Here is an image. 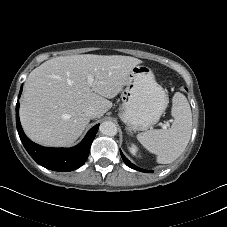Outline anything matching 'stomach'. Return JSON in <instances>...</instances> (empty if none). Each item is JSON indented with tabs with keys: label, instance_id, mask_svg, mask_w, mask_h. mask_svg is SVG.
<instances>
[{
	"label": "stomach",
	"instance_id": "stomach-1",
	"mask_svg": "<svg viewBox=\"0 0 227 227\" xmlns=\"http://www.w3.org/2000/svg\"><path fill=\"white\" fill-rule=\"evenodd\" d=\"M124 87L120 119L134 132L145 131L156 124L167 107L168 96L156 82L151 68L133 67Z\"/></svg>",
	"mask_w": 227,
	"mask_h": 227
}]
</instances>
